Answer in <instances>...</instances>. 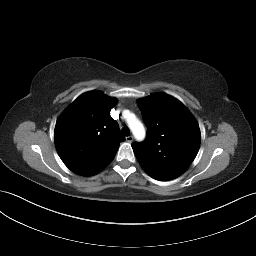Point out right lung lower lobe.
I'll return each mask as SVG.
<instances>
[{
    "mask_svg": "<svg viewBox=\"0 0 256 256\" xmlns=\"http://www.w3.org/2000/svg\"><path fill=\"white\" fill-rule=\"evenodd\" d=\"M98 172H100V171H98ZM98 172H95V173H91V174H89V175H87V176H92V175H95V174H97Z\"/></svg>",
    "mask_w": 256,
    "mask_h": 256,
    "instance_id": "right-lung-lower-lobe-1",
    "label": "right lung lower lobe"
}]
</instances>
